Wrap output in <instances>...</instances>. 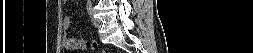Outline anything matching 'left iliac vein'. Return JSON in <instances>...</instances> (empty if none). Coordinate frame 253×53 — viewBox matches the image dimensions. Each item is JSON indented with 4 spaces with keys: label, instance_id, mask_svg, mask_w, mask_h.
I'll return each mask as SVG.
<instances>
[{
    "label": "left iliac vein",
    "instance_id": "4c4485c4",
    "mask_svg": "<svg viewBox=\"0 0 253 53\" xmlns=\"http://www.w3.org/2000/svg\"><path fill=\"white\" fill-rule=\"evenodd\" d=\"M92 23L97 28L101 26V21L98 18L92 17Z\"/></svg>",
    "mask_w": 253,
    "mask_h": 53
}]
</instances>
